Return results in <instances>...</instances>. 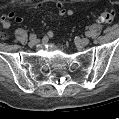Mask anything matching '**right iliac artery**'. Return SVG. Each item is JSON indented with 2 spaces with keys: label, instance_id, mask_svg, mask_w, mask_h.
I'll return each instance as SVG.
<instances>
[{
  "label": "right iliac artery",
  "instance_id": "obj_1",
  "mask_svg": "<svg viewBox=\"0 0 119 119\" xmlns=\"http://www.w3.org/2000/svg\"><path fill=\"white\" fill-rule=\"evenodd\" d=\"M29 39H30V40L36 39V35H35V34H30Z\"/></svg>",
  "mask_w": 119,
  "mask_h": 119
}]
</instances>
